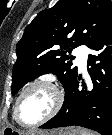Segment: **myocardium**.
Here are the masks:
<instances>
[{
	"mask_svg": "<svg viewBox=\"0 0 112 135\" xmlns=\"http://www.w3.org/2000/svg\"><path fill=\"white\" fill-rule=\"evenodd\" d=\"M41 85L47 86L54 91V93L56 94V103H55L54 107L52 108V110L42 119H40L36 122H32V123L26 122L25 120H23V118L21 117V114H20L21 100L28 90H30L33 87L41 86ZM63 103H64V93L55 83H53L50 80H46V79L35 80V81L31 82L30 84H28L17 97L15 105H14V117H15V120L17 121V123H19L23 127H27V128L36 127V126H39V125L49 121L54 116H56L57 113L60 111Z\"/></svg>",
	"mask_w": 112,
	"mask_h": 135,
	"instance_id": "1",
	"label": "myocardium"
}]
</instances>
